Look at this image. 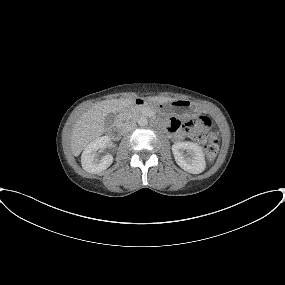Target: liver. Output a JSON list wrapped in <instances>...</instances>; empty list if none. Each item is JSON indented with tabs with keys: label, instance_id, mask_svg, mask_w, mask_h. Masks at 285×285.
<instances>
[{
	"label": "liver",
	"instance_id": "1",
	"mask_svg": "<svg viewBox=\"0 0 285 285\" xmlns=\"http://www.w3.org/2000/svg\"><path fill=\"white\" fill-rule=\"evenodd\" d=\"M154 102L168 103L174 99L153 98ZM134 104V99L121 98L101 101L86 111L75 123L71 133V150L78 156L82 150L105 131V117L110 113L119 112Z\"/></svg>",
	"mask_w": 285,
	"mask_h": 285
}]
</instances>
